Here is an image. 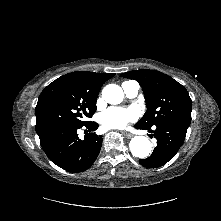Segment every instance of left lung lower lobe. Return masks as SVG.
<instances>
[{
    "instance_id": "1",
    "label": "left lung lower lobe",
    "mask_w": 221,
    "mask_h": 221,
    "mask_svg": "<svg viewBox=\"0 0 221 221\" xmlns=\"http://www.w3.org/2000/svg\"><path fill=\"white\" fill-rule=\"evenodd\" d=\"M137 129L148 130L157 139V146L152 155L146 159H139V163L147 168H158L170 161L184 143L187 125L179 123H164L151 128L135 124Z\"/></svg>"
}]
</instances>
